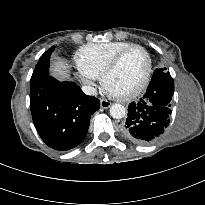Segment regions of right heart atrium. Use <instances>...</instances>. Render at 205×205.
I'll list each match as a JSON object with an SVG mask.
<instances>
[{
    "instance_id": "1",
    "label": "right heart atrium",
    "mask_w": 205,
    "mask_h": 205,
    "mask_svg": "<svg viewBox=\"0 0 205 205\" xmlns=\"http://www.w3.org/2000/svg\"><path fill=\"white\" fill-rule=\"evenodd\" d=\"M76 76L82 82V84L87 87L88 90L92 91L96 86L98 78L78 65Z\"/></svg>"
}]
</instances>
